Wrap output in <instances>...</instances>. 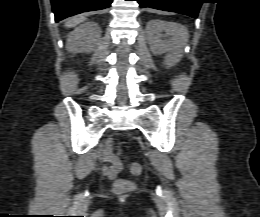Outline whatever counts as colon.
<instances>
[{
    "instance_id": "obj_1",
    "label": "colon",
    "mask_w": 260,
    "mask_h": 217,
    "mask_svg": "<svg viewBox=\"0 0 260 217\" xmlns=\"http://www.w3.org/2000/svg\"><path fill=\"white\" fill-rule=\"evenodd\" d=\"M129 170L132 174L138 175L141 173V165L138 162H131L129 165ZM130 187L129 183L125 179H118L114 182V188L116 191L123 192Z\"/></svg>"
}]
</instances>
